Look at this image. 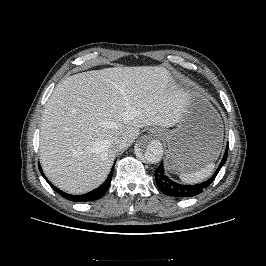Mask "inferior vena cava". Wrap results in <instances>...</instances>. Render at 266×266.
Listing matches in <instances>:
<instances>
[{
  "instance_id": "obj_1",
  "label": "inferior vena cava",
  "mask_w": 266,
  "mask_h": 266,
  "mask_svg": "<svg viewBox=\"0 0 266 266\" xmlns=\"http://www.w3.org/2000/svg\"><path fill=\"white\" fill-rule=\"evenodd\" d=\"M128 137L126 135H118L112 138L111 148L118 152L127 146Z\"/></svg>"
}]
</instances>
